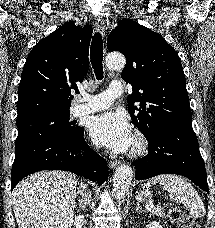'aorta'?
Masks as SVG:
<instances>
[{"label": "aorta", "instance_id": "1", "mask_svg": "<svg viewBox=\"0 0 215 228\" xmlns=\"http://www.w3.org/2000/svg\"><path fill=\"white\" fill-rule=\"evenodd\" d=\"M108 68L112 70H123L125 68L126 60L121 54H108L106 56ZM134 172L130 166H120L117 168L113 178V190L115 198L118 202H124V198L129 190V186L133 180Z\"/></svg>", "mask_w": 215, "mask_h": 228}]
</instances>
